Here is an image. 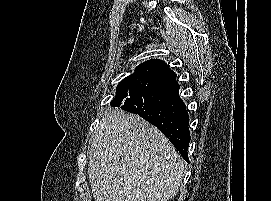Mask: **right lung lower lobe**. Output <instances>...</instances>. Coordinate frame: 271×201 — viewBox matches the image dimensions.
<instances>
[{"mask_svg":"<svg viewBox=\"0 0 271 201\" xmlns=\"http://www.w3.org/2000/svg\"><path fill=\"white\" fill-rule=\"evenodd\" d=\"M152 75L141 94L124 99L121 109L138 114L167 137L182 157L189 162V117L179 96L176 74L164 61L150 69Z\"/></svg>","mask_w":271,"mask_h":201,"instance_id":"right-lung-lower-lobe-1","label":"right lung lower lobe"}]
</instances>
